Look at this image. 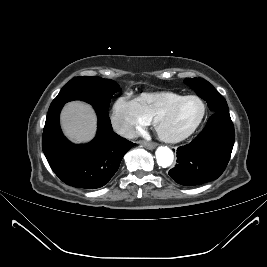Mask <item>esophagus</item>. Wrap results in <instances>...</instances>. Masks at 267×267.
I'll list each match as a JSON object with an SVG mask.
<instances>
[{"label": "esophagus", "mask_w": 267, "mask_h": 267, "mask_svg": "<svg viewBox=\"0 0 267 267\" xmlns=\"http://www.w3.org/2000/svg\"><path fill=\"white\" fill-rule=\"evenodd\" d=\"M139 143H140L142 146H144V147H146V148H148V149H150V150L154 149V148L157 146L156 143H151V142H147V141H140Z\"/></svg>", "instance_id": "34e87169"}]
</instances>
